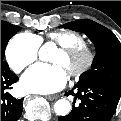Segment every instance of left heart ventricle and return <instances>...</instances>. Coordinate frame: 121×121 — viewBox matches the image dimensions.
<instances>
[{
	"instance_id": "obj_1",
	"label": "left heart ventricle",
	"mask_w": 121,
	"mask_h": 121,
	"mask_svg": "<svg viewBox=\"0 0 121 121\" xmlns=\"http://www.w3.org/2000/svg\"><path fill=\"white\" fill-rule=\"evenodd\" d=\"M51 62L61 66L67 73L71 69L73 63L63 53L56 51L51 58Z\"/></svg>"
}]
</instances>
